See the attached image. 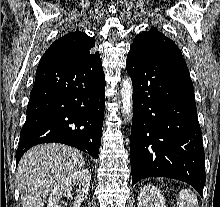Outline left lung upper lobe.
Segmentation results:
<instances>
[{
  "label": "left lung upper lobe",
  "instance_id": "obj_1",
  "mask_svg": "<svg viewBox=\"0 0 220 207\" xmlns=\"http://www.w3.org/2000/svg\"><path fill=\"white\" fill-rule=\"evenodd\" d=\"M131 48L157 57L182 58V53L175 42L153 27L137 35Z\"/></svg>",
  "mask_w": 220,
  "mask_h": 207
}]
</instances>
